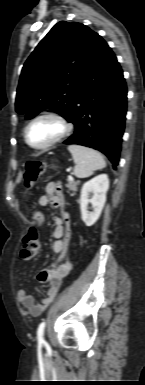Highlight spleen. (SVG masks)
<instances>
[{
  "mask_svg": "<svg viewBox=\"0 0 145 385\" xmlns=\"http://www.w3.org/2000/svg\"><path fill=\"white\" fill-rule=\"evenodd\" d=\"M68 150L75 162L74 175L78 178H87L94 171L106 167L103 156L96 150L81 145H69Z\"/></svg>",
  "mask_w": 145,
  "mask_h": 385,
  "instance_id": "obj_1",
  "label": "spleen"
}]
</instances>
